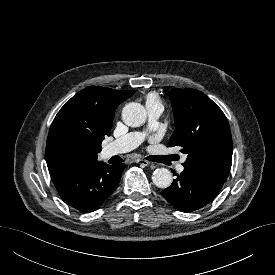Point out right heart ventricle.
<instances>
[{"mask_svg":"<svg viewBox=\"0 0 275 275\" xmlns=\"http://www.w3.org/2000/svg\"><path fill=\"white\" fill-rule=\"evenodd\" d=\"M147 102H160V100L156 94L150 93V94H148V96L146 98V103Z\"/></svg>","mask_w":275,"mask_h":275,"instance_id":"e07e8e85","label":"right heart ventricle"}]
</instances>
